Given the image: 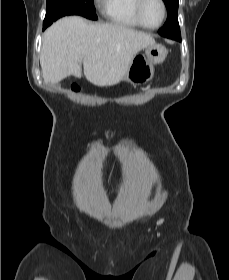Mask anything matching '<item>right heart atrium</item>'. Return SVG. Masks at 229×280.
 Segmentation results:
<instances>
[{
  "label": "right heart atrium",
  "instance_id": "1",
  "mask_svg": "<svg viewBox=\"0 0 229 280\" xmlns=\"http://www.w3.org/2000/svg\"><path fill=\"white\" fill-rule=\"evenodd\" d=\"M105 0H96L98 5H102Z\"/></svg>",
  "mask_w": 229,
  "mask_h": 280
}]
</instances>
